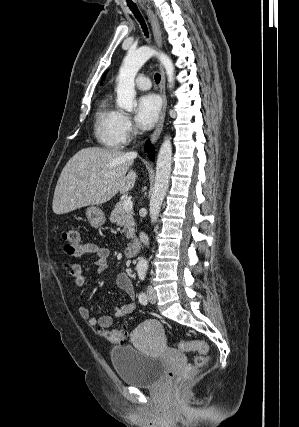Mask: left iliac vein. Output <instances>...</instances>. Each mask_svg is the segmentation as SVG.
I'll use <instances>...</instances> for the list:
<instances>
[{
    "mask_svg": "<svg viewBox=\"0 0 299 427\" xmlns=\"http://www.w3.org/2000/svg\"><path fill=\"white\" fill-rule=\"evenodd\" d=\"M147 296H148V300L150 301V303H152V304L156 303L157 296H156V293H155L154 289L152 288V286H148Z\"/></svg>",
    "mask_w": 299,
    "mask_h": 427,
    "instance_id": "4c4485c4",
    "label": "left iliac vein"
}]
</instances>
